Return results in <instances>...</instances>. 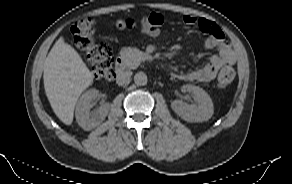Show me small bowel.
<instances>
[{"instance_id": "small-bowel-1", "label": "small bowel", "mask_w": 292, "mask_h": 184, "mask_svg": "<svg viewBox=\"0 0 292 184\" xmlns=\"http://www.w3.org/2000/svg\"><path fill=\"white\" fill-rule=\"evenodd\" d=\"M157 15L162 23L164 17L160 13ZM183 22L187 25H196L201 31L208 35L204 42L206 49H216L217 53L209 58L207 64L203 67L185 73H177L175 76L184 81H195L200 83H208L215 79L219 69L224 65H233L236 61V55L229 41L221 28L214 22L197 18L192 15L183 16Z\"/></svg>"}]
</instances>
